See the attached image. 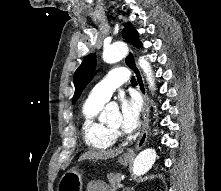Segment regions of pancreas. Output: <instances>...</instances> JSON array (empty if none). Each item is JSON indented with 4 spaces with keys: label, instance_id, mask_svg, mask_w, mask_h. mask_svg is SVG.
Segmentation results:
<instances>
[{
    "label": "pancreas",
    "instance_id": "obj_1",
    "mask_svg": "<svg viewBox=\"0 0 221 191\" xmlns=\"http://www.w3.org/2000/svg\"><path fill=\"white\" fill-rule=\"evenodd\" d=\"M107 179H108L110 185L114 189H117L119 184H120V182H121V180H122V176L119 173H116V174L110 173V174L107 175Z\"/></svg>",
    "mask_w": 221,
    "mask_h": 191
}]
</instances>
